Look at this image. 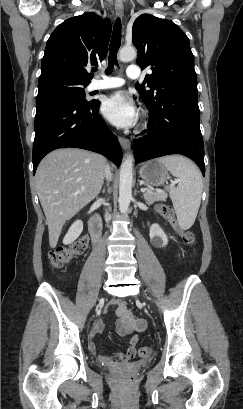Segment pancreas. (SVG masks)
<instances>
[{
    "label": "pancreas",
    "instance_id": "cf45deb5",
    "mask_svg": "<svg viewBox=\"0 0 243 409\" xmlns=\"http://www.w3.org/2000/svg\"><path fill=\"white\" fill-rule=\"evenodd\" d=\"M144 199L145 202L150 205L153 204L156 201H164L166 199V196L162 193L158 192H153V191H146L144 193Z\"/></svg>",
    "mask_w": 243,
    "mask_h": 409
}]
</instances>
